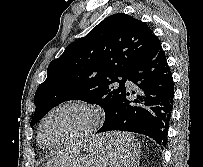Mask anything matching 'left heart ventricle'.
<instances>
[{"label": "left heart ventricle", "instance_id": "obj_1", "mask_svg": "<svg viewBox=\"0 0 203 167\" xmlns=\"http://www.w3.org/2000/svg\"><path fill=\"white\" fill-rule=\"evenodd\" d=\"M90 121V115L84 110L63 109L51 116L45 123L43 140L47 145L62 142L84 130Z\"/></svg>", "mask_w": 203, "mask_h": 167}]
</instances>
